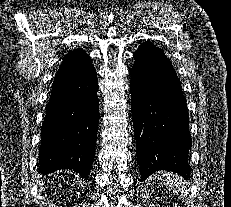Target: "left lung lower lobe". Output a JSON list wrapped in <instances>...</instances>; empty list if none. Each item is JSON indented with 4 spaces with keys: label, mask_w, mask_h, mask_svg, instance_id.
<instances>
[{
    "label": "left lung lower lobe",
    "mask_w": 231,
    "mask_h": 207,
    "mask_svg": "<svg viewBox=\"0 0 231 207\" xmlns=\"http://www.w3.org/2000/svg\"><path fill=\"white\" fill-rule=\"evenodd\" d=\"M133 56L131 106L141 180L158 170L190 179L187 157L192 142L180 80L153 43L143 42Z\"/></svg>",
    "instance_id": "obj_1"
}]
</instances>
